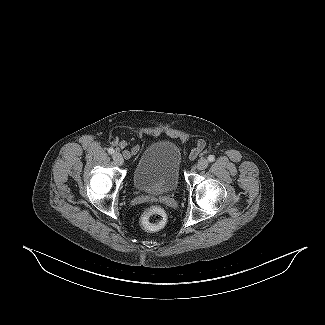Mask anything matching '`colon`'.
Listing matches in <instances>:
<instances>
[{"label": "colon", "mask_w": 325, "mask_h": 325, "mask_svg": "<svg viewBox=\"0 0 325 325\" xmlns=\"http://www.w3.org/2000/svg\"><path fill=\"white\" fill-rule=\"evenodd\" d=\"M165 223L166 213L158 206L148 208L143 215V225L149 230H157L163 227Z\"/></svg>", "instance_id": "obj_1"}]
</instances>
